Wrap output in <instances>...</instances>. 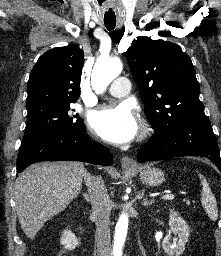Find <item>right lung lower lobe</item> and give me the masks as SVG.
<instances>
[{"instance_id": "98d812e1", "label": "right lung lower lobe", "mask_w": 221, "mask_h": 256, "mask_svg": "<svg viewBox=\"0 0 221 256\" xmlns=\"http://www.w3.org/2000/svg\"><path fill=\"white\" fill-rule=\"evenodd\" d=\"M64 160L108 166L112 164L113 156L107 148L86 134V128L65 129L42 134L21 144L17 171L36 162Z\"/></svg>"}]
</instances>
